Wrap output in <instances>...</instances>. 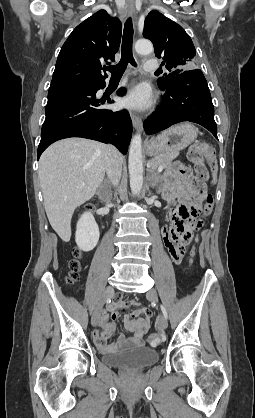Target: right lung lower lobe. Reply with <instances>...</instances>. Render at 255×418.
<instances>
[{
	"mask_svg": "<svg viewBox=\"0 0 255 418\" xmlns=\"http://www.w3.org/2000/svg\"><path fill=\"white\" fill-rule=\"evenodd\" d=\"M105 85V81H101L49 88L38 159L50 144L68 137L111 143L126 154L132 133L131 118L127 111L101 108L105 103H113L95 96ZM124 94V88L118 90L119 96Z\"/></svg>",
	"mask_w": 255,
	"mask_h": 418,
	"instance_id": "obj_1",
	"label": "right lung lower lobe"
}]
</instances>
